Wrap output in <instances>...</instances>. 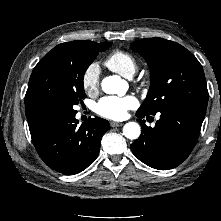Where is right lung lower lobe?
Returning a JSON list of instances; mask_svg holds the SVG:
<instances>
[{"label":"right lung lower lobe","instance_id":"right-lung-lower-lobe-1","mask_svg":"<svg viewBox=\"0 0 221 221\" xmlns=\"http://www.w3.org/2000/svg\"><path fill=\"white\" fill-rule=\"evenodd\" d=\"M77 111L53 104H37L26 108L34 146L42 160L52 169L74 175L97 158L101 138L110 129L107 120L89 118L78 125Z\"/></svg>","mask_w":221,"mask_h":221}]
</instances>
